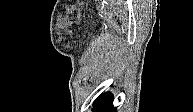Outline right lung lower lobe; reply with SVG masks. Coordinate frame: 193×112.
Returning a JSON list of instances; mask_svg holds the SVG:
<instances>
[{
  "label": "right lung lower lobe",
  "mask_w": 193,
  "mask_h": 112,
  "mask_svg": "<svg viewBox=\"0 0 193 112\" xmlns=\"http://www.w3.org/2000/svg\"><path fill=\"white\" fill-rule=\"evenodd\" d=\"M112 100L113 96L109 92L99 96L93 103V112H115Z\"/></svg>",
  "instance_id": "obj_1"
}]
</instances>
